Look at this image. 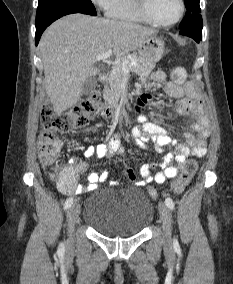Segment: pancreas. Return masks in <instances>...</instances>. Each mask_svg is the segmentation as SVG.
Masks as SVG:
<instances>
[{"instance_id": "cf45deb5", "label": "pancreas", "mask_w": 233, "mask_h": 284, "mask_svg": "<svg viewBox=\"0 0 233 284\" xmlns=\"http://www.w3.org/2000/svg\"><path fill=\"white\" fill-rule=\"evenodd\" d=\"M124 61L128 62L127 71L123 70L122 64ZM132 61H135L137 65H131L130 63ZM154 67L155 64L146 62L135 53L122 57L119 63L113 68L112 74L108 81L109 87H106L103 93L104 99L109 105L115 107L121 97V86L124 82L127 72L133 71L139 76H147L151 73Z\"/></svg>"}]
</instances>
